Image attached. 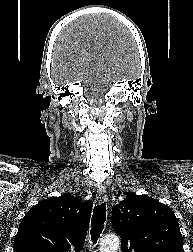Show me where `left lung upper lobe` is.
I'll list each match as a JSON object with an SVG mask.
<instances>
[{
    "label": "left lung upper lobe",
    "mask_w": 193,
    "mask_h": 252,
    "mask_svg": "<svg viewBox=\"0 0 193 252\" xmlns=\"http://www.w3.org/2000/svg\"><path fill=\"white\" fill-rule=\"evenodd\" d=\"M111 219L121 237L122 252H184L175 214L148 195L127 193L114 206Z\"/></svg>",
    "instance_id": "1"
}]
</instances>
